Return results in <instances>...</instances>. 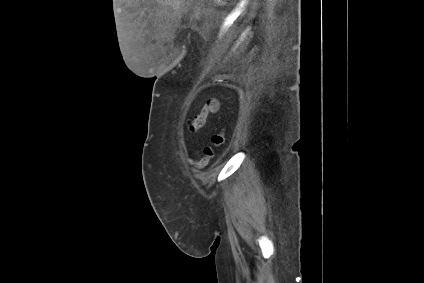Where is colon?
<instances>
[{"label": "colon", "instance_id": "colon-1", "mask_svg": "<svg viewBox=\"0 0 424 283\" xmlns=\"http://www.w3.org/2000/svg\"><path fill=\"white\" fill-rule=\"evenodd\" d=\"M220 103L217 99H209L201 112L189 121V130L191 132H197L202 129L205 125L207 117L209 115L215 114L219 110ZM225 141V135L223 132L215 133L211 138V145L206 146L203 150L204 156L197 161L193 162V165L196 169H203L207 166L210 160L214 156V151L217 147L221 146Z\"/></svg>", "mask_w": 424, "mask_h": 283}]
</instances>
